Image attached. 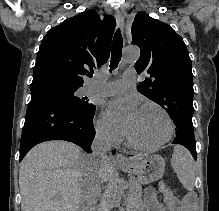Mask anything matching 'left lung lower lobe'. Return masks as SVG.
Here are the masks:
<instances>
[{
    "instance_id": "0a47b994",
    "label": "left lung lower lobe",
    "mask_w": 219,
    "mask_h": 211,
    "mask_svg": "<svg viewBox=\"0 0 219 211\" xmlns=\"http://www.w3.org/2000/svg\"><path fill=\"white\" fill-rule=\"evenodd\" d=\"M173 144L185 146L196 160V146L194 132H178L174 138Z\"/></svg>"
}]
</instances>
